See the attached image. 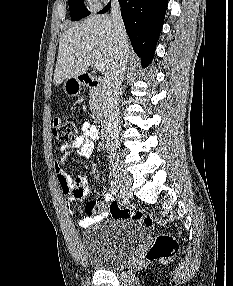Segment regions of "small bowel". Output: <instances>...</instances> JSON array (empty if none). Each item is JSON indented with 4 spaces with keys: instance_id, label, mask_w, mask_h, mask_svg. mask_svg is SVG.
<instances>
[{
    "instance_id": "obj_1",
    "label": "small bowel",
    "mask_w": 233,
    "mask_h": 286,
    "mask_svg": "<svg viewBox=\"0 0 233 286\" xmlns=\"http://www.w3.org/2000/svg\"><path fill=\"white\" fill-rule=\"evenodd\" d=\"M100 140V133L96 126L89 122H84L81 126V134L78 135L71 143H65L60 146L61 152H66L70 149L75 150L76 154L82 157H89L94 149L93 141ZM101 159H97L96 164L100 166ZM57 180L66 196V205L70 214H74L72 205L82 200L88 193L89 184L87 177L79 174L72 177L63 167L62 161H55L54 163ZM111 194H104L96 201H91L86 205V216H76V223L78 226L87 228L93 224L102 221L104 213L102 212L106 202L111 199Z\"/></svg>"
}]
</instances>
